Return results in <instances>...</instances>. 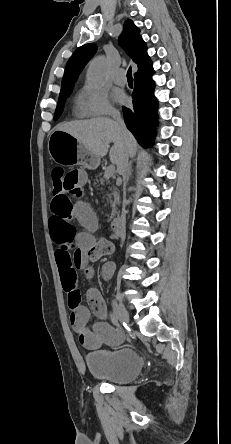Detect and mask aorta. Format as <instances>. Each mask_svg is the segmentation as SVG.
Listing matches in <instances>:
<instances>
[{
  "mask_svg": "<svg viewBox=\"0 0 231 444\" xmlns=\"http://www.w3.org/2000/svg\"><path fill=\"white\" fill-rule=\"evenodd\" d=\"M107 65L105 57H98L91 62L87 72V81L92 87L98 88L104 84Z\"/></svg>",
  "mask_w": 231,
  "mask_h": 444,
  "instance_id": "obj_1",
  "label": "aorta"
}]
</instances>
